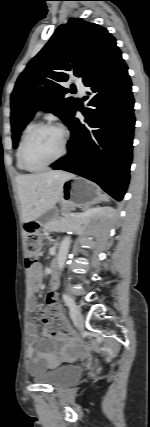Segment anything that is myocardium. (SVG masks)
Segmentation results:
<instances>
[{
  "label": "myocardium",
  "instance_id": "myocardium-1",
  "mask_svg": "<svg viewBox=\"0 0 150 427\" xmlns=\"http://www.w3.org/2000/svg\"><path fill=\"white\" fill-rule=\"evenodd\" d=\"M42 129L58 130L62 134V149H61V152L59 153V155L57 157H55L52 161H50V162H48V163H46L40 167L31 168L27 165L26 160H25L26 148H27V145H28L30 139L33 137V135ZM68 143H69L68 133L62 126L55 124V123H39V124H36L35 126H33L31 128V130L27 133V135L25 136V138L23 140L21 150H20L21 164L26 171H29V172L42 171V170L50 167L51 165L55 164L56 162L60 161L67 154Z\"/></svg>",
  "mask_w": 150,
  "mask_h": 427
}]
</instances>
